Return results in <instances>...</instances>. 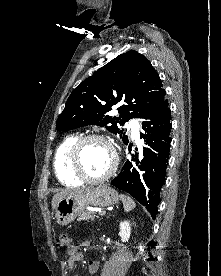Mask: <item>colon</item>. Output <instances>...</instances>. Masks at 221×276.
<instances>
[{
	"label": "colon",
	"instance_id": "5ec220e1",
	"mask_svg": "<svg viewBox=\"0 0 221 276\" xmlns=\"http://www.w3.org/2000/svg\"><path fill=\"white\" fill-rule=\"evenodd\" d=\"M56 246L69 249L73 245L69 239V237L66 234H61L58 236L56 240Z\"/></svg>",
	"mask_w": 221,
	"mask_h": 276
}]
</instances>
